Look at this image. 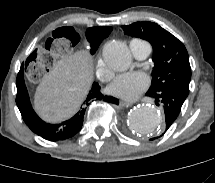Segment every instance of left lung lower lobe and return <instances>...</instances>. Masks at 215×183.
Listing matches in <instances>:
<instances>
[{
    "mask_svg": "<svg viewBox=\"0 0 215 183\" xmlns=\"http://www.w3.org/2000/svg\"><path fill=\"white\" fill-rule=\"evenodd\" d=\"M146 95L155 98L156 105H161L164 108L166 130L178 117L181 107L187 98V96L173 88H164L158 92H147Z\"/></svg>",
    "mask_w": 215,
    "mask_h": 183,
    "instance_id": "0a47b994",
    "label": "left lung lower lobe"
}]
</instances>
